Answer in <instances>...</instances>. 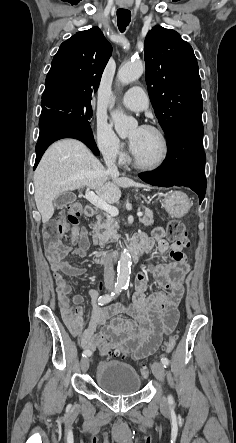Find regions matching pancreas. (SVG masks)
Here are the masks:
<instances>
[{"instance_id":"pancreas-1","label":"pancreas","mask_w":236,"mask_h":443,"mask_svg":"<svg viewBox=\"0 0 236 443\" xmlns=\"http://www.w3.org/2000/svg\"><path fill=\"white\" fill-rule=\"evenodd\" d=\"M140 222L144 226L153 225V212L146 209L144 216L140 218ZM92 229L93 244L103 247L105 244L113 242L117 238L119 225L111 215L104 214L97 216V221Z\"/></svg>"}]
</instances>
